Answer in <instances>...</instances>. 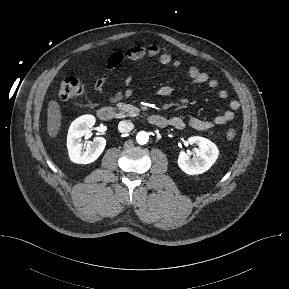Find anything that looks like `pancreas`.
Segmentation results:
<instances>
[{"label": "pancreas", "instance_id": "cf45deb5", "mask_svg": "<svg viewBox=\"0 0 289 289\" xmlns=\"http://www.w3.org/2000/svg\"><path fill=\"white\" fill-rule=\"evenodd\" d=\"M117 106L120 110L127 113V115L130 117L138 116L140 113V110L133 105L118 103Z\"/></svg>", "mask_w": 289, "mask_h": 289}]
</instances>
